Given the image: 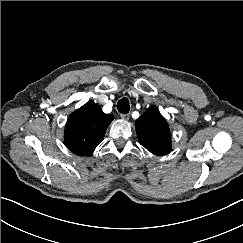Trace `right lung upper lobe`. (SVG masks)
<instances>
[{
    "mask_svg": "<svg viewBox=\"0 0 243 243\" xmlns=\"http://www.w3.org/2000/svg\"><path fill=\"white\" fill-rule=\"evenodd\" d=\"M113 115L105 114L92 101L73 112L66 123L64 142L77 155H90L103 140Z\"/></svg>",
    "mask_w": 243,
    "mask_h": 243,
    "instance_id": "right-lung-upper-lobe-1",
    "label": "right lung upper lobe"
}]
</instances>
